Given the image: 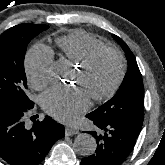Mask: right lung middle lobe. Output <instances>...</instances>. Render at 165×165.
Here are the masks:
<instances>
[{
  "label": "right lung middle lobe",
  "instance_id": "obj_1",
  "mask_svg": "<svg viewBox=\"0 0 165 165\" xmlns=\"http://www.w3.org/2000/svg\"><path fill=\"white\" fill-rule=\"evenodd\" d=\"M49 26L20 24L0 35V107L29 109L34 103L28 98L24 57L32 38Z\"/></svg>",
  "mask_w": 165,
  "mask_h": 165
}]
</instances>
